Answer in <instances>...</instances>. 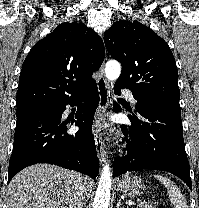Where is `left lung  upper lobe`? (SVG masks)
Returning <instances> with one entry per match:
<instances>
[{"mask_svg": "<svg viewBox=\"0 0 199 208\" xmlns=\"http://www.w3.org/2000/svg\"><path fill=\"white\" fill-rule=\"evenodd\" d=\"M104 42L122 65L115 85L130 89L138 101L136 106L181 110L178 70L162 38L138 21L123 20L104 33Z\"/></svg>", "mask_w": 199, "mask_h": 208, "instance_id": "1", "label": "left lung upper lobe"}]
</instances>
